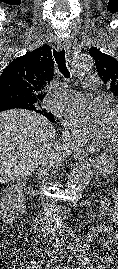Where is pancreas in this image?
<instances>
[{
  "instance_id": "1",
  "label": "pancreas",
  "mask_w": 118,
  "mask_h": 269,
  "mask_svg": "<svg viewBox=\"0 0 118 269\" xmlns=\"http://www.w3.org/2000/svg\"><path fill=\"white\" fill-rule=\"evenodd\" d=\"M99 181L100 182H114L115 178L114 177H100Z\"/></svg>"
}]
</instances>
